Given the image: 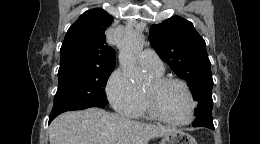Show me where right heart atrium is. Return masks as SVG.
Listing matches in <instances>:
<instances>
[{"mask_svg": "<svg viewBox=\"0 0 260 144\" xmlns=\"http://www.w3.org/2000/svg\"><path fill=\"white\" fill-rule=\"evenodd\" d=\"M105 92L114 110L123 115L131 116L140 103L136 87L120 68L110 74Z\"/></svg>", "mask_w": 260, "mask_h": 144, "instance_id": "d8ad5b80", "label": "right heart atrium"}]
</instances>
